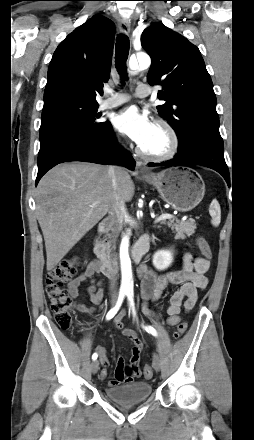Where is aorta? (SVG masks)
Listing matches in <instances>:
<instances>
[{
  "label": "aorta",
  "mask_w": 254,
  "mask_h": 440,
  "mask_svg": "<svg viewBox=\"0 0 254 440\" xmlns=\"http://www.w3.org/2000/svg\"><path fill=\"white\" fill-rule=\"evenodd\" d=\"M137 63L140 70L147 69L151 64L150 57L145 53L137 54ZM130 66L134 65L130 62ZM128 237L125 236L122 240L121 248H120V268H121V288L126 290H131L133 288L132 281V268H131V260L128 253Z\"/></svg>",
  "instance_id": "obj_1"
}]
</instances>
